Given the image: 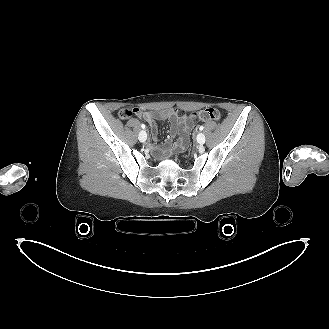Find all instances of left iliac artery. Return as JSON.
<instances>
[{
    "label": "left iliac artery",
    "instance_id": "44dca946",
    "mask_svg": "<svg viewBox=\"0 0 329 329\" xmlns=\"http://www.w3.org/2000/svg\"><path fill=\"white\" fill-rule=\"evenodd\" d=\"M203 129H204V127H203V126H200V127H199V130H200V131H202Z\"/></svg>",
    "mask_w": 329,
    "mask_h": 329
}]
</instances>
